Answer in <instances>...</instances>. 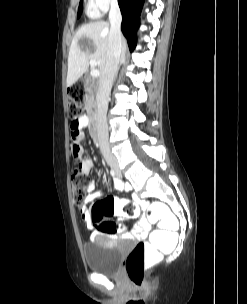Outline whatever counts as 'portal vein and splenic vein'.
<instances>
[{
  "label": "portal vein and splenic vein",
  "mask_w": 247,
  "mask_h": 304,
  "mask_svg": "<svg viewBox=\"0 0 247 304\" xmlns=\"http://www.w3.org/2000/svg\"><path fill=\"white\" fill-rule=\"evenodd\" d=\"M96 65H97V62L95 60L91 59L90 60V66H91L92 70L90 72V75L92 77H98L100 75L99 70L95 69Z\"/></svg>",
  "instance_id": "1"
}]
</instances>
